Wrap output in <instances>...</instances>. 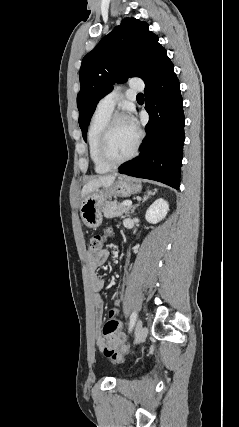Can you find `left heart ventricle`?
Instances as JSON below:
<instances>
[{"label":"left heart ventricle","instance_id":"b2bd125f","mask_svg":"<svg viewBox=\"0 0 239 427\" xmlns=\"http://www.w3.org/2000/svg\"><path fill=\"white\" fill-rule=\"evenodd\" d=\"M136 132L131 129L126 120L117 122L110 134L107 152L109 157L118 160L127 156L133 149Z\"/></svg>","mask_w":239,"mask_h":427}]
</instances>
